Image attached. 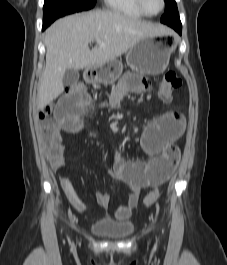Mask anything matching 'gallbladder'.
<instances>
[{
	"label": "gallbladder",
	"instance_id": "1",
	"mask_svg": "<svg viewBox=\"0 0 227 265\" xmlns=\"http://www.w3.org/2000/svg\"><path fill=\"white\" fill-rule=\"evenodd\" d=\"M79 80V72L75 69H67L64 78L63 83L66 86H71L75 84Z\"/></svg>",
	"mask_w": 227,
	"mask_h": 265
}]
</instances>
